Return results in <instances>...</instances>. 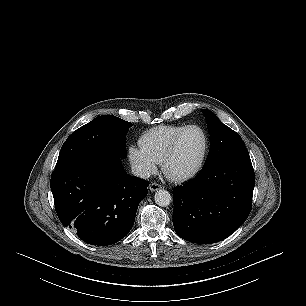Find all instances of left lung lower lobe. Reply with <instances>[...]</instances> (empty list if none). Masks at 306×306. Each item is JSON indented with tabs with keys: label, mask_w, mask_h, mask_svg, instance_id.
<instances>
[{
	"label": "left lung lower lobe",
	"mask_w": 306,
	"mask_h": 306,
	"mask_svg": "<svg viewBox=\"0 0 306 306\" xmlns=\"http://www.w3.org/2000/svg\"><path fill=\"white\" fill-rule=\"evenodd\" d=\"M254 182L249 155L204 166L193 180L173 191V225L178 236L198 244L227 238L250 214Z\"/></svg>",
	"instance_id": "1"
}]
</instances>
